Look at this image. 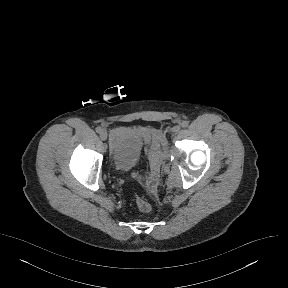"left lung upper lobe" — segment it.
<instances>
[{
  "mask_svg": "<svg viewBox=\"0 0 288 288\" xmlns=\"http://www.w3.org/2000/svg\"><path fill=\"white\" fill-rule=\"evenodd\" d=\"M256 216H257V213L254 214V217H256Z\"/></svg>",
  "mask_w": 288,
  "mask_h": 288,
  "instance_id": "5c2ea615",
  "label": "left lung upper lobe"
}]
</instances>
